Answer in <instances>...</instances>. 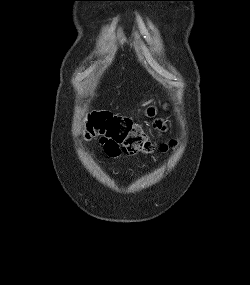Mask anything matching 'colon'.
<instances>
[{
  "instance_id": "5ec220e1",
  "label": "colon",
  "mask_w": 250,
  "mask_h": 285,
  "mask_svg": "<svg viewBox=\"0 0 250 285\" xmlns=\"http://www.w3.org/2000/svg\"><path fill=\"white\" fill-rule=\"evenodd\" d=\"M86 137H100L109 156H116L121 152L148 154L155 149L140 125L128 117L109 111H95L88 116ZM167 148V144L161 145L162 150Z\"/></svg>"
}]
</instances>
